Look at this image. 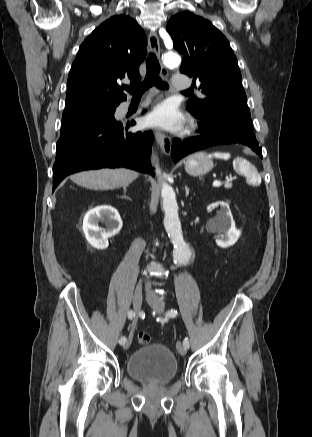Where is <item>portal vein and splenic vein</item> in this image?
Returning <instances> with one entry per match:
<instances>
[{
  "label": "portal vein and splenic vein",
  "instance_id": "1",
  "mask_svg": "<svg viewBox=\"0 0 312 437\" xmlns=\"http://www.w3.org/2000/svg\"><path fill=\"white\" fill-rule=\"evenodd\" d=\"M221 184H222V182L219 181V180H215V181L213 182V186H220Z\"/></svg>",
  "mask_w": 312,
  "mask_h": 437
}]
</instances>
